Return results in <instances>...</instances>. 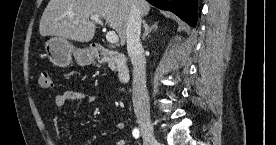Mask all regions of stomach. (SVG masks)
I'll return each instance as SVG.
<instances>
[{
	"label": "stomach",
	"instance_id": "0dacf381",
	"mask_svg": "<svg viewBox=\"0 0 276 145\" xmlns=\"http://www.w3.org/2000/svg\"><path fill=\"white\" fill-rule=\"evenodd\" d=\"M44 47L50 61L60 67H67L71 63L72 55L82 65L92 64L97 56L93 47L75 49L66 38L59 36L47 40Z\"/></svg>",
	"mask_w": 276,
	"mask_h": 145
}]
</instances>
